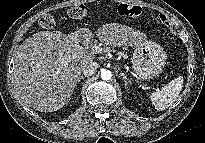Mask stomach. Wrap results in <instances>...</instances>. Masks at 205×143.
<instances>
[{
    "label": "stomach",
    "mask_w": 205,
    "mask_h": 143,
    "mask_svg": "<svg viewBox=\"0 0 205 143\" xmlns=\"http://www.w3.org/2000/svg\"><path fill=\"white\" fill-rule=\"evenodd\" d=\"M166 53L163 48L152 41H145L135 46L132 67L142 79L157 77L165 65Z\"/></svg>",
    "instance_id": "1"
}]
</instances>
